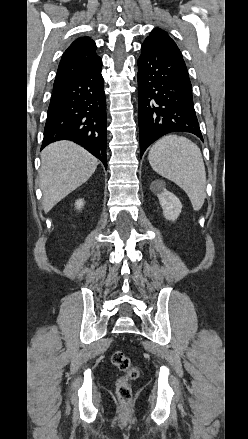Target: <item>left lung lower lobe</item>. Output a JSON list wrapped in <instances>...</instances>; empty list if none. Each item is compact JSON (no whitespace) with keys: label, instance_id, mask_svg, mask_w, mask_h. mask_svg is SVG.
<instances>
[{"label":"left lung lower lobe","instance_id":"0a47b994","mask_svg":"<svg viewBox=\"0 0 248 439\" xmlns=\"http://www.w3.org/2000/svg\"><path fill=\"white\" fill-rule=\"evenodd\" d=\"M138 59L140 155L171 132L202 134L194 110L192 87L182 56L143 43Z\"/></svg>","mask_w":248,"mask_h":439}]
</instances>
